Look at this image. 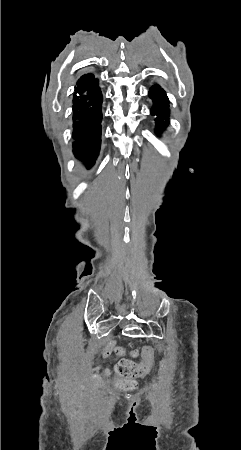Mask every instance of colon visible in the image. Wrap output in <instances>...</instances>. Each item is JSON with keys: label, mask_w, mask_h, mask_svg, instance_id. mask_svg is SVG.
Returning <instances> with one entry per match:
<instances>
[{"label": "colon", "mask_w": 241, "mask_h": 450, "mask_svg": "<svg viewBox=\"0 0 241 450\" xmlns=\"http://www.w3.org/2000/svg\"><path fill=\"white\" fill-rule=\"evenodd\" d=\"M144 351H143V356L145 357L143 359V363H138L136 360H120L117 364H115L114 369L115 371L119 372L121 375L125 376V375H135V376H144L147 373L146 369H149L152 367V363H153V352L155 351L154 347L150 344H146L144 346ZM103 374L104 375H109L110 374V369L109 368H104L103 369Z\"/></svg>", "instance_id": "1"}]
</instances>
